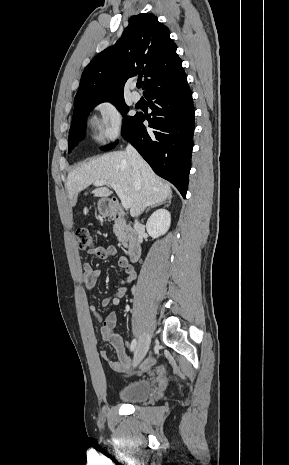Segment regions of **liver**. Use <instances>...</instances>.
<instances>
[{
	"instance_id": "obj_1",
	"label": "liver",
	"mask_w": 289,
	"mask_h": 465,
	"mask_svg": "<svg viewBox=\"0 0 289 465\" xmlns=\"http://www.w3.org/2000/svg\"><path fill=\"white\" fill-rule=\"evenodd\" d=\"M101 180L122 188L125 195L132 200V216H138L147 206L162 204L172 196L170 185L164 183L145 161L136 172L125 151H114L93 159L68 174L66 186L70 205H76L81 191ZM92 193L96 197H108L113 192L100 187Z\"/></svg>"
}]
</instances>
